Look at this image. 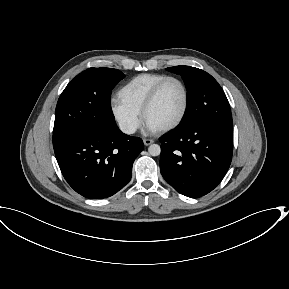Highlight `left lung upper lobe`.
I'll list each match as a JSON object with an SVG mask.
<instances>
[{"label":"left lung upper lobe","mask_w":289,"mask_h":289,"mask_svg":"<svg viewBox=\"0 0 289 289\" xmlns=\"http://www.w3.org/2000/svg\"><path fill=\"white\" fill-rule=\"evenodd\" d=\"M167 70L181 75L187 88V108L178 127H187L196 122L233 126L227 97L210 74L184 65L169 67Z\"/></svg>","instance_id":"obj_1"}]
</instances>
